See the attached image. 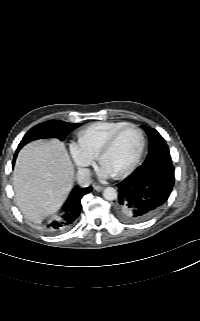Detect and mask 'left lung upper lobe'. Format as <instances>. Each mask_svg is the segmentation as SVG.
Here are the masks:
<instances>
[{
    "label": "left lung upper lobe",
    "mask_w": 200,
    "mask_h": 321,
    "mask_svg": "<svg viewBox=\"0 0 200 321\" xmlns=\"http://www.w3.org/2000/svg\"><path fill=\"white\" fill-rule=\"evenodd\" d=\"M142 127L150 141L149 153L143 164H172L169 148L164 138L155 129Z\"/></svg>",
    "instance_id": "5c2ea615"
}]
</instances>
